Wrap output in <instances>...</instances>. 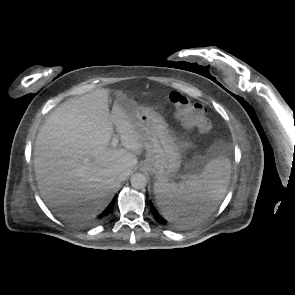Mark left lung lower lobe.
<instances>
[{
	"instance_id": "left-lung-lower-lobe-1",
	"label": "left lung lower lobe",
	"mask_w": 295,
	"mask_h": 295,
	"mask_svg": "<svg viewBox=\"0 0 295 295\" xmlns=\"http://www.w3.org/2000/svg\"><path fill=\"white\" fill-rule=\"evenodd\" d=\"M150 208H151V211L153 213V216L154 218L161 224H166V220L158 213V211L156 210V208L153 206L152 203H150ZM192 216H196V215H199L198 211L195 210L194 208L190 210V213Z\"/></svg>"
}]
</instances>
